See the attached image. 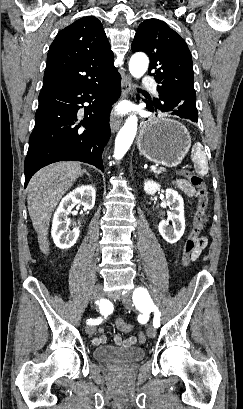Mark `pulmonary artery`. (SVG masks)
Segmentation results:
<instances>
[{
    "label": "pulmonary artery",
    "mask_w": 243,
    "mask_h": 409,
    "mask_svg": "<svg viewBox=\"0 0 243 409\" xmlns=\"http://www.w3.org/2000/svg\"><path fill=\"white\" fill-rule=\"evenodd\" d=\"M142 83L144 86L150 88L155 94L157 93L156 91V83L153 78L149 76H145L142 80Z\"/></svg>",
    "instance_id": "pulmonary-artery-1"
}]
</instances>
